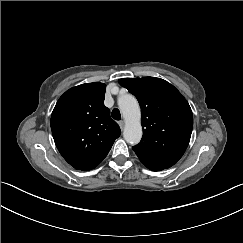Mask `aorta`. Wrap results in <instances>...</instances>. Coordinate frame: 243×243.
<instances>
[{
	"instance_id": "aorta-1",
	"label": "aorta",
	"mask_w": 243,
	"mask_h": 243,
	"mask_svg": "<svg viewBox=\"0 0 243 243\" xmlns=\"http://www.w3.org/2000/svg\"><path fill=\"white\" fill-rule=\"evenodd\" d=\"M118 105L124 120L123 136L130 144H136L142 137L141 109L133 95L119 98Z\"/></svg>"
}]
</instances>
